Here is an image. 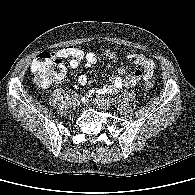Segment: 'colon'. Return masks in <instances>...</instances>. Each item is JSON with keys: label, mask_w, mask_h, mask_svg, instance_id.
<instances>
[{"label": "colon", "mask_w": 195, "mask_h": 195, "mask_svg": "<svg viewBox=\"0 0 195 195\" xmlns=\"http://www.w3.org/2000/svg\"><path fill=\"white\" fill-rule=\"evenodd\" d=\"M32 71L36 77L37 83L42 87L62 79L65 73V66L62 60L53 53H40L32 63ZM145 87L152 88L154 82L145 80Z\"/></svg>", "instance_id": "5ec220e1"}]
</instances>
